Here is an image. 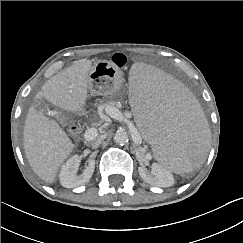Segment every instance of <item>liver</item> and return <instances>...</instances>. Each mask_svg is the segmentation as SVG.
I'll list each match as a JSON object with an SVG mask.
<instances>
[{
    "instance_id": "6515ba94",
    "label": "liver",
    "mask_w": 243,
    "mask_h": 243,
    "mask_svg": "<svg viewBox=\"0 0 243 243\" xmlns=\"http://www.w3.org/2000/svg\"><path fill=\"white\" fill-rule=\"evenodd\" d=\"M91 68V60L71 65L47 80L36 99L44 98L65 111L82 110L88 98ZM23 144L32 170L47 183L55 180L59 167L74 149V144L60 125L39 113L35 106L28 110Z\"/></svg>"
}]
</instances>
